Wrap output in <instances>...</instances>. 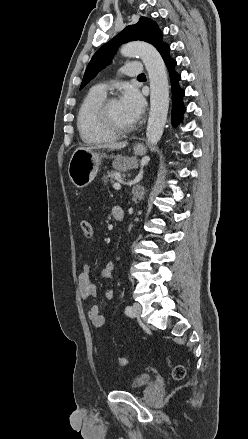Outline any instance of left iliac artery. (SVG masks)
Wrapping results in <instances>:
<instances>
[{"label": "left iliac artery", "mask_w": 248, "mask_h": 439, "mask_svg": "<svg viewBox=\"0 0 248 439\" xmlns=\"http://www.w3.org/2000/svg\"><path fill=\"white\" fill-rule=\"evenodd\" d=\"M125 314L128 315V316H132V314H133L132 306H126L125 307Z\"/></svg>", "instance_id": "1"}]
</instances>
